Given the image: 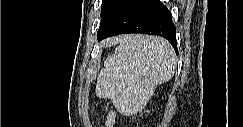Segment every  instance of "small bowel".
<instances>
[{
    "label": "small bowel",
    "instance_id": "obj_1",
    "mask_svg": "<svg viewBox=\"0 0 243 127\" xmlns=\"http://www.w3.org/2000/svg\"><path fill=\"white\" fill-rule=\"evenodd\" d=\"M115 119H116V113L113 111L109 112L106 119V126L112 127L115 123Z\"/></svg>",
    "mask_w": 243,
    "mask_h": 127
}]
</instances>
